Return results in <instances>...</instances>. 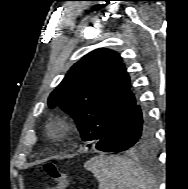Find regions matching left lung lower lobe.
Instances as JSON below:
<instances>
[{
    "instance_id": "1",
    "label": "left lung lower lobe",
    "mask_w": 188,
    "mask_h": 189,
    "mask_svg": "<svg viewBox=\"0 0 188 189\" xmlns=\"http://www.w3.org/2000/svg\"><path fill=\"white\" fill-rule=\"evenodd\" d=\"M152 126L141 107L135 104L95 145L104 152H122L150 145Z\"/></svg>"
}]
</instances>
